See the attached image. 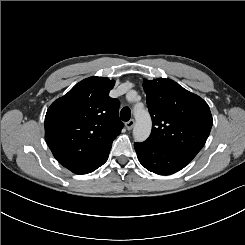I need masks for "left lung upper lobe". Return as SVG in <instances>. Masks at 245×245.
Here are the masks:
<instances>
[{"label":"left lung upper lobe","mask_w":245,"mask_h":245,"mask_svg":"<svg viewBox=\"0 0 245 245\" xmlns=\"http://www.w3.org/2000/svg\"><path fill=\"white\" fill-rule=\"evenodd\" d=\"M143 88L153 122L145 142L174 150L191 161L212 127L208 104L170 79L144 80Z\"/></svg>","instance_id":"5c2ea615"}]
</instances>
